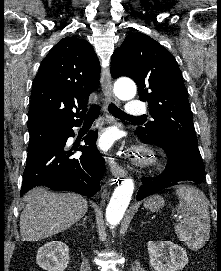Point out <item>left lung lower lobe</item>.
I'll return each mask as SVG.
<instances>
[{
    "label": "left lung lower lobe",
    "mask_w": 221,
    "mask_h": 271,
    "mask_svg": "<svg viewBox=\"0 0 221 271\" xmlns=\"http://www.w3.org/2000/svg\"><path fill=\"white\" fill-rule=\"evenodd\" d=\"M144 143L155 144L164 149L168 157L167 168L155 177H143L142 186L136 199L143 198L167 187L176 185L179 181L189 180L199 184L204 175V164L199 150H196L168 135L149 139L136 133Z\"/></svg>",
    "instance_id": "left-lung-lower-lobe-1"
}]
</instances>
